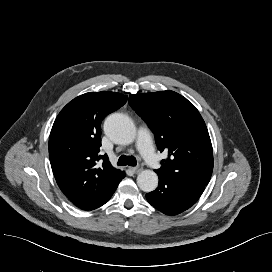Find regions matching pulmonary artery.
Returning <instances> with one entry per match:
<instances>
[{
  "instance_id": "obj_1",
  "label": "pulmonary artery",
  "mask_w": 272,
  "mask_h": 272,
  "mask_svg": "<svg viewBox=\"0 0 272 272\" xmlns=\"http://www.w3.org/2000/svg\"><path fill=\"white\" fill-rule=\"evenodd\" d=\"M138 149L145 161L152 167L158 168L160 165L159 158L152 145L149 132L141 127L138 132Z\"/></svg>"
}]
</instances>
